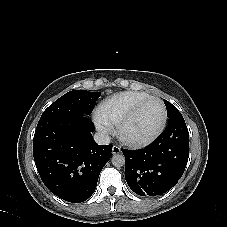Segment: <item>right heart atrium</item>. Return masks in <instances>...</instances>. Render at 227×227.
<instances>
[{
    "mask_svg": "<svg viewBox=\"0 0 227 227\" xmlns=\"http://www.w3.org/2000/svg\"><path fill=\"white\" fill-rule=\"evenodd\" d=\"M94 122L98 131L101 132L103 135H109L112 133V124L109 123L107 120L101 118L97 113L95 115Z\"/></svg>",
    "mask_w": 227,
    "mask_h": 227,
    "instance_id": "1",
    "label": "right heart atrium"
}]
</instances>
